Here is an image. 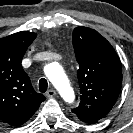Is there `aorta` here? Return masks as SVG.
<instances>
[{"label": "aorta", "mask_w": 133, "mask_h": 133, "mask_svg": "<svg viewBox=\"0 0 133 133\" xmlns=\"http://www.w3.org/2000/svg\"><path fill=\"white\" fill-rule=\"evenodd\" d=\"M46 76L59 91L63 99L68 103H73L75 96L62 67L56 63H50L44 68Z\"/></svg>", "instance_id": "obj_1"}]
</instances>
